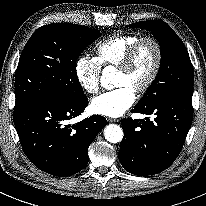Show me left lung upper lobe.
Segmentation results:
<instances>
[{
    "label": "left lung upper lobe",
    "instance_id": "left-lung-upper-lobe-1",
    "mask_svg": "<svg viewBox=\"0 0 206 206\" xmlns=\"http://www.w3.org/2000/svg\"><path fill=\"white\" fill-rule=\"evenodd\" d=\"M130 27L151 31L160 43L161 51L159 73L136 106L146 107L173 96H192L193 66L185 45L171 27L161 20L137 22Z\"/></svg>",
    "mask_w": 206,
    "mask_h": 206
}]
</instances>
